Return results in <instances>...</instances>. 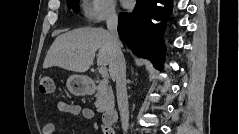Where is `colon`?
I'll return each instance as SVG.
<instances>
[{
  "label": "colon",
  "mask_w": 239,
  "mask_h": 134,
  "mask_svg": "<svg viewBox=\"0 0 239 134\" xmlns=\"http://www.w3.org/2000/svg\"><path fill=\"white\" fill-rule=\"evenodd\" d=\"M38 89L42 94H50L54 90L53 78L49 75L43 74L39 77ZM112 132L107 129L106 134H111Z\"/></svg>",
  "instance_id": "1"
}]
</instances>
